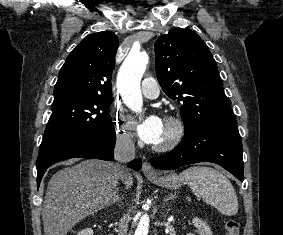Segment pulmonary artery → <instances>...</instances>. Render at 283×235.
I'll return each mask as SVG.
<instances>
[{
  "label": "pulmonary artery",
  "instance_id": "pulmonary-artery-1",
  "mask_svg": "<svg viewBox=\"0 0 283 235\" xmlns=\"http://www.w3.org/2000/svg\"><path fill=\"white\" fill-rule=\"evenodd\" d=\"M141 91L146 98L155 99L159 96V86L152 77H146L141 82Z\"/></svg>",
  "mask_w": 283,
  "mask_h": 235
}]
</instances>
